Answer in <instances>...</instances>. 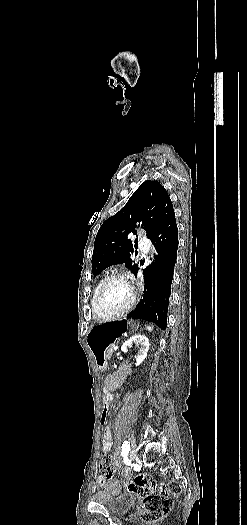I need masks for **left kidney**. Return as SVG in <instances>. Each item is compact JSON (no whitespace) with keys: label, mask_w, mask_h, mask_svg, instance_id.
<instances>
[{"label":"left kidney","mask_w":247,"mask_h":525,"mask_svg":"<svg viewBox=\"0 0 247 525\" xmlns=\"http://www.w3.org/2000/svg\"><path fill=\"white\" fill-rule=\"evenodd\" d=\"M132 345H136V347L139 345V353L136 359V367H138L146 359L150 343L145 335H135L123 343L121 351H128Z\"/></svg>","instance_id":"1"}]
</instances>
